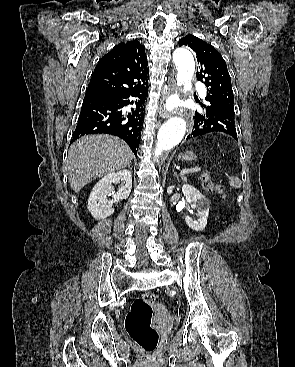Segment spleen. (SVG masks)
<instances>
[{
  "instance_id": "3e777b00",
  "label": "spleen",
  "mask_w": 295,
  "mask_h": 367,
  "mask_svg": "<svg viewBox=\"0 0 295 367\" xmlns=\"http://www.w3.org/2000/svg\"><path fill=\"white\" fill-rule=\"evenodd\" d=\"M228 178H229V181H230V185L232 187L240 188L241 181H240V179L238 177L231 176V177H228Z\"/></svg>"
}]
</instances>
